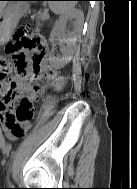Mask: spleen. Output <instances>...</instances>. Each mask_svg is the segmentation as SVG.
<instances>
[{"label": "spleen", "mask_w": 137, "mask_h": 189, "mask_svg": "<svg viewBox=\"0 0 137 189\" xmlns=\"http://www.w3.org/2000/svg\"><path fill=\"white\" fill-rule=\"evenodd\" d=\"M74 2L70 1H49V7L54 13L62 14L67 9L72 8Z\"/></svg>", "instance_id": "obj_1"}]
</instances>
